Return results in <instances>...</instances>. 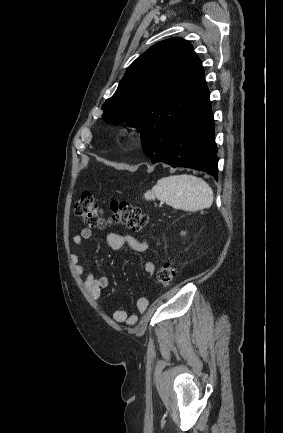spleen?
Returning a JSON list of instances; mask_svg holds the SVG:
<instances>
[{"label": "spleen", "instance_id": "1", "mask_svg": "<svg viewBox=\"0 0 283 433\" xmlns=\"http://www.w3.org/2000/svg\"><path fill=\"white\" fill-rule=\"evenodd\" d=\"M146 200H165L173 208L202 210L209 208L214 194L211 186L193 174H172L159 178L151 190L144 194Z\"/></svg>", "mask_w": 283, "mask_h": 433}]
</instances>
